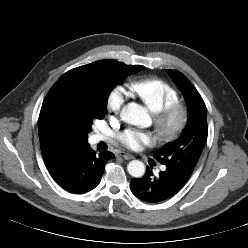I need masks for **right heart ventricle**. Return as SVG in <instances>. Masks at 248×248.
I'll return each instance as SVG.
<instances>
[{
	"label": "right heart ventricle",
	"instance_id": "1",
	"mask_svg": "<svg viewBox=\"0 0 248 248\" xmlns=\"http://www.w3.org/2000/svg\"><path fill=\"white\" fill-rule=\"evenodd\" d=\"M129 89L153 113L179 101L178 90L159 78H142L133 81L129 84Z\"/></svg>",
	"mask_w": 248,
	"mask_h": 248
}]
</instances>
